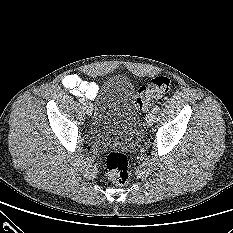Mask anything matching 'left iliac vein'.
Masks as SVG:
<instances>
[{
	"instance_id": "4c4485c4",
	"label": "left iliac vein",
	"mask_w": 233,
	"mask_h": 233,
	"mask_svg": "<svg viewBox=\"0 0 233 233\" xmlns=\"http://www.w3.org/2000/svg\"><path fill=\"white\" fill-rule=\"evenodd\" d=\"M156 117V112L151 110L148 112L147 116H146V123L150 126L153 124L154 120Z\"/></svg>"
}]
</instances>
